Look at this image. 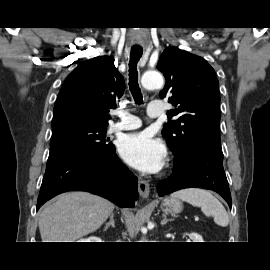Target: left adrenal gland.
Returning <instances> with one entry per match:
<instances>
[{
	"instance_id": "obj_1",
	"label": "left adrenal gland",
	"mask_w": 270,
	"mask_h": 270,
	"mask_svg": "<svg viewBox=\"0 0 270 270\" xmlns=\"http://www.w3.org/2000/svg\"><path fill=\"white\" fill-rule=\"evenodd\" d=\"M163 220L161 221V225H165L168 221H171L172 219H167V216L165 214L162 215Z\"/></svg>"
}]
</instances>
